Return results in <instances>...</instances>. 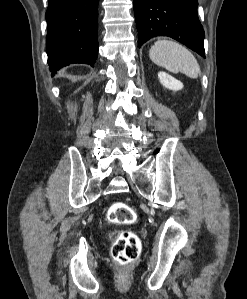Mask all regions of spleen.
<instances>
[{"label":"spleen","mask_w":247,"mask_h":299,"mask_svg":"<svg viewBox=\"0 0 247 299\" xmlns=\"http://www.w3.org/2000/svg\"><path fill=\"white\" fill-rule=\"evenodd\" d=\"M149 57L156 65L170 72H181L190 78H197L200 66L194 55L182 45L169 41L159 40L150 48Z\"/></svg>","instance_id":"obj_1"}]
</instances>
